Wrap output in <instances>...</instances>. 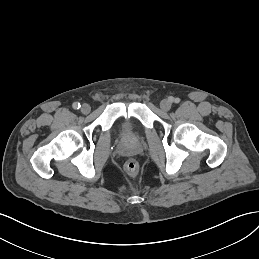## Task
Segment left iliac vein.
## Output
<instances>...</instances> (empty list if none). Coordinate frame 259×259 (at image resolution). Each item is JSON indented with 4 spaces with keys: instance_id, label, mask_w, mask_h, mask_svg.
<instances>
[{
    "instance_id": "1",
    "label": "left iliac vein",
    "mask_w": 259,
    "mask_h": 259,
    "mask_svg": "<svg viewBox=\"0 0 259 259\" xmlns=\"http://www.w3.org/2000/svg\"><path fill=\"white\" fill-rule=\"evenodd\" d=\"M160 108L163 110V111H168L170 110L171 108V101L167 100V99H164L161 101L160 103Z\"/></svg>"
}]
</instances>
